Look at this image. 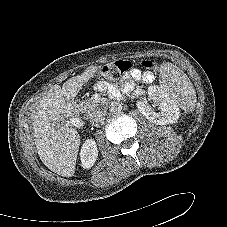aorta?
Here are the masks:
<instances>
[{
	"label": "aorta",
	"mask_w": 227,
	"mask_h": 227,
	"mask_svg": "<svg viewBox=\"0 0 227 227\" xmlns=\"http://www.w3.org/2000/svg\"><path fill=\"white\" fill-rule=\"evenodd\" d=\"M122 110V105L118 101L111 102L109 111L112 113H119Z\"/></svg>",
	"instance_id": "762f6f07"
}]
</instances>
